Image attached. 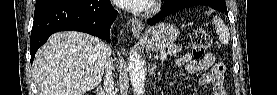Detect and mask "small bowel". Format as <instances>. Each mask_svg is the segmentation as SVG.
<instances>
[{
	"label": "small bowel",
	"mask_w": 277,
	"mask_h": 95,
	"mask_svg": "<svg viewBox=\"0 0 277 95\" xmlns=\"http://www.w3.org/2000/svg\"><path fill=\"white\" fill-rule=\"evenodd\" d=\"M177 65L185 67L189 73L200 72V83L212 84L214 95L226 94L222 81L223 67L215 62L211 52L205 53L200 59H193L190 54H185L177 59Z\"/></svg>",
	"instance_id": "1"
}]
</instances>
